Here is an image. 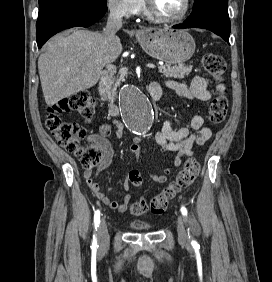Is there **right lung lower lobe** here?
Returning <instances> with one entry per match:
<instances>
[{"label": "right lung lower lobe", "instance_id": "obj_1", "mask_svg": "<svg viewBox=\"0 0 272 282\" xmlns=\"http://www.w3.org/2000/svg\"><path fill=\"white\" fill-rule=\"evenodd\" d=\"M106 11V4L78 0L54 1L40 7L36 24L38 48L57 32L94 24Z\"/></svg>", "mask_w": 272, "mask_h": 282}]
</instances>
